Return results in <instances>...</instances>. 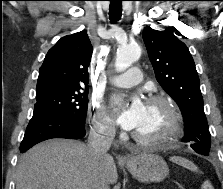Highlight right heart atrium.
I'll return each instance as SVG.
<instances>
[{
  "instance_id": "1",
  "label": "right heart atrium",
  "mask_w": 223,
  "mask_h": 189,
  "mask_svg": "<svg viewBox=\"0 0 223 189\" xmlns=\"http://www.w3.org/2000/svg\"><path fill=\"white\" fill-rule=\"evenodd\" d=\"M91 124L93 130L101 136L111 137L115 132L113 120L98 103L91 107Z\"/></svg>"
}]
</instances>
